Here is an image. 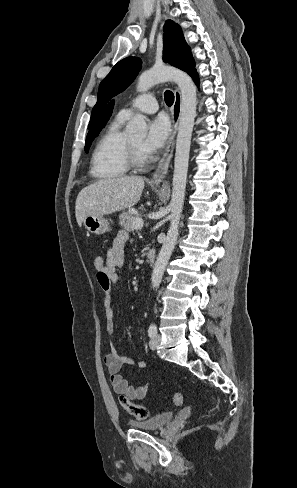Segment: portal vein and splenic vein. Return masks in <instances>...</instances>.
Masks as SVG:
<instances>
[{"label":"portal vein and splenic vein","instance_id":"18ae733b","mask_svg":"<svg viewBox=\"0 0 297 488\" xmlns=\"http://www.w3.org/2000/svg\"><path fill=\"white\" fill-rule=\"evenodd\" d=\"M132 224L135 229H141L143 227V219L141 217H137L132 221Z\"/></svg>","mask_w":297,"mask_h":488}]
</instances>
